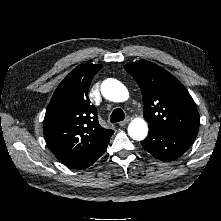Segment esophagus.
<instances>
[{
    "instance_id": "esophagus-1",
    "label": "esophagus",
    "mask_w": 221,
    "mask_h": 221,
    "mask_svg": "<svg viewBox=\"0 0 221 221\" xmlns=\"http://www.w3.org/2000/svg\"><path fill=\"white\" fill-rule=\"evenodd\" d=\"M130 119L127 118L124 121L119 122V126L124 127L125 125H127L129 123Z\"/></svg>"
}]
</instances>
